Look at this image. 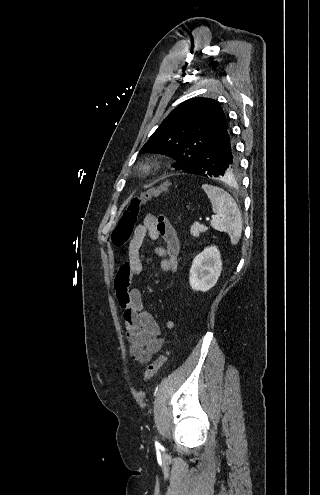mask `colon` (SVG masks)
Masks as SVG:
<instances>
[{"label": "colon", "mask_w": 320, "mask_h": 495, "mask_svg": "<svg viewBox=\"0 0 320 495\" xmlns=\"http://www.w3.org/2000/svg\"><path fill=\"white\" fill-rule=\"evenodd\" d=\"M164 190H166L165 187L153 188L133 197L129 201L111 235L112 242L115 246H124L129 241L142 207L152 197ZM168 354L169 351L166 350L156 360L148 365L143 378L145 382L149 381L158 372L166 361Z\"/></svg>", "instance_id": "1"}]
</instances>
